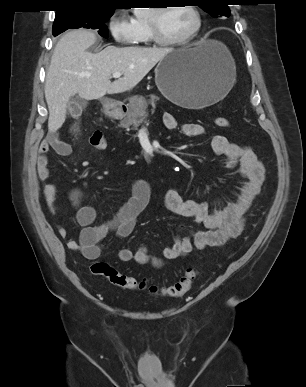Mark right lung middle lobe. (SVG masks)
<instances>
[{
  "label": "right lung middle lobe",
  "mask_w": 306,
  "mask_h": 387,
  "mask_svg": "<svg viewBox=\"0 0 306 387\" xmlns=\"http://www.w3.org/2000/svg\"><path fill=\"white\" fill-rule=\"evenodd\" d=\"M110 9H72L56 14L53 24V35L56 36L69 28L97 29L98 33L108 37L105 23L113 15Z\"/></svg>",
  "instance_id": "1"
}]
</instances>
